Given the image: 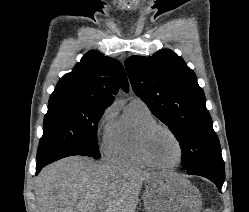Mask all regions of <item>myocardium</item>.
I'll use <instances>...</instances> for the list:
<instances>
[{
    "label": "myocardium",
    "mask_w": 249,
    "mask_h": 212,
    "mask_svg": "<svg viewBox=\"0 0 249 212\" xmlns=\"http://www.w3.org/2000/svg\"><path fill=\"white\" fill-rule=\"evenodd\" d=\"M158 131H163L169 134L177 143V146L179 148V159L175 164H172V165L160 164L153 158L151 151H150V141L153 135ZM139 143H140V150H141L142 156L153 167H156L159 169H175L178 166H180V164L182 163L184 159L185 151H184V146L181 140L179 139V137L176 135V133L173 130H171L169 127L165 125H162L159 123H152L146 126L140 134Z\"/></svg>",
    "instance_id": "myocardium-1"
}]
</instances>
